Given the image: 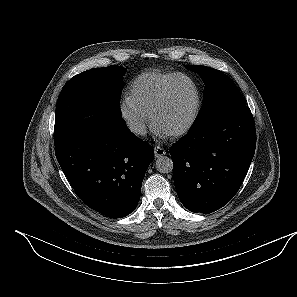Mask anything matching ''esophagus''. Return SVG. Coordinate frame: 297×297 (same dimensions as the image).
<instances>
[{
    "label": "esophagus",
    "mask_w": 297,
    "mask_h": 297,
    "mask_svg": "<svg viewBox=\"0 0 297 297\" xmlns=\"http://www.w3.org/2000/svg\"><path fill=\"white\" fill-rule=\"evenodd\" d=\"M165 154H166V151L162 147H160V146L154 147V155L156 158H159Z\"/></svg>",
    "instance_id": "obj_1"
}]
</instances>
